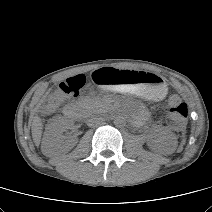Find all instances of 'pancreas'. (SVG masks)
<instances>
[{"instance_id":"obj_1","label":"pancreas","mask_w":212,"mask_h":212,"mask_svg":"<svg viewBox=\"0 0 212 212\" xmlns=\"http://www.w3.org/2000/svg\"><path fill=\"white\" fill-rule=\"evenodd\" d=\"M80 104L86 112L95 111L102 106L101 101L95 97H84L80 100Z\"/></svg>"}]
</instances>
